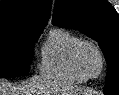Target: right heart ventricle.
Returning a JSON list of instances; mask_svg holds the SVG:
<instances>
[{
  "label": "right heart ventricle",
  "mask_w": 119,
  "mask_h": 95,
  "mask_svg": "<svg viewBox=\"0 0 119 95\" xmlns=\"http://www.w3.org/2000/svg\"><path fill=\"white\" fill-rule=\"evenodd\" d=\"M81 38L68 29L57 27L50 31L42 49L40 72L52 78L84 82L72 63V52Z\"/></svg>",
  "instance_id": "e07e8e85"
}]
</instances>
